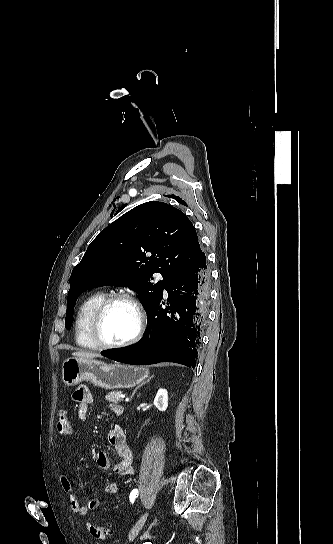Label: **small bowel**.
Returning <instances> with one entry per match:
<instances>
[{
    "instance_id": "c3829d8e",
    "label": "small bowel",
    "mask_w": 333,
    "mask_h": 544,
    "mask_svg": "<svg viewBox=\"0 0 333 544\" xmlns=\"http://www.w3.org/2000/svg\"><path fill=\"white\" fill-rule=\"evenodd\" d=\"M73 399L77 404V414L80 419H86L89 411V405L93 401V396L88 387L80 386L73 393ZM110 409L117 415L122 414L123 409L117 404H111ZM107 439L115 454L118 456V462L113 466V471L120 476H130L133 473V454L126 443V437L119 425H113L107 434ZM96 463L100 469L107 470L111 467V461L106 452H99L96 457ZM62 485L69 495V502L72 511L80 516H84L90 510H95L100 505L98 497L90 498L86 503H82L75 490L74 482L66 476L61 478ZM118 492V485L114 482L109 483L105 488V493L114 495Z\"/></svg>"
}]
</instances>
